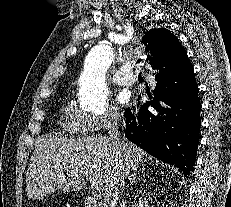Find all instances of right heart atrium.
Instances as JSON below:
<instances>
[{
	"instance_id": "d8ad5b80",
	"label": "right heart atrium",
	"mask_w": 231,
	"mask_h": 207,
	"mask_svg": "<svg viewBox=\"0 0 231 207\" xmlns=\"http://www.w3.org/2000/svg\"><path fill=\"white\" fill-rule=\"evenodd\" d=\"M119 113L116 108L108 107L99 114H86L85 123L88 131L97 132L117 125Z\"/></svg>"
}]
</instances>
